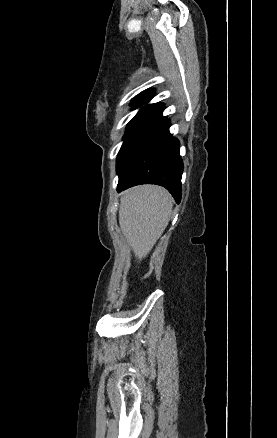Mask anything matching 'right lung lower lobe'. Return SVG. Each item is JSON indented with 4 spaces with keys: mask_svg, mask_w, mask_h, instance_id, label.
Returning a JSON list of instances; mask_svg holds the SVG:
<instances>
[{
    "mask_svg": "<svg viewBox=\"0 0 277 438\" xmlns=\"http://www.w3.org/2000/svg\"><path fill=\"white\" fill-rule=\"evenodd\" d=\"M170 121L165 120L125 175L119 180L121 192L139 184H157L165 187L177 203L181 200L183 162L179 141L169 133Z\"/></svg>",
    "mask_w": 277,
    "mask_h": 438,
    "instance_id": "obj_1",
    "label": "right lung lower lobe"
}]
</instances>
